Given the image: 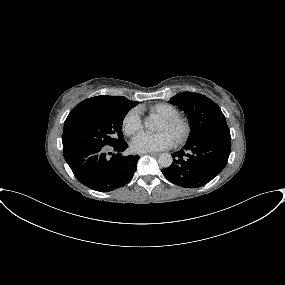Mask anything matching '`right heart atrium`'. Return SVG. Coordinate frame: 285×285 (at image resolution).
<instances>
[{
  "mask_svg": "<svg viewBox=\"0 0 285 285\" xmlns=\"http://www.w3.org/2000/svg\"><path fill=\"white\" fill-rule=\"evenodd\" d=\"M123 132L127 136H133L142 129V123L137 109L130 110L122 123Z\"/></svg>",
  "mask_w": 285,
  "mask_h": 285,
  "instance_id": "d8ad5b80",
  "label": "right heart atrium"
}]
</instances>
